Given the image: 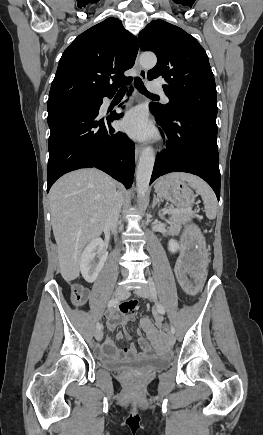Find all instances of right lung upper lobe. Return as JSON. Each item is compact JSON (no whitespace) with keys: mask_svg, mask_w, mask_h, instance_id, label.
I'll return each mask as SVG.
<instances>
[{"mask_svg":"<svg viewBox=\"0 0 263 435\" xmlns=\"http://www.w3.org/2000/svg\"><path fill=\"white\" fill-rule=\"evenodd\" d=\"M138 52L136 37L108 18L80 34L60 58L47 106L100 99L130 80Z\"/></svg>","mask_w":263,"mask_h":435,"instance_id":"1","label":"right lung upper lobe"}]
</instances>
